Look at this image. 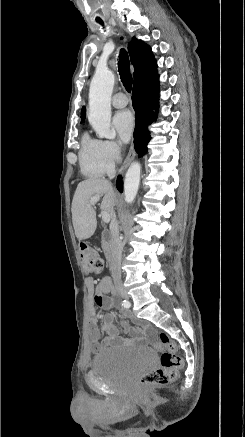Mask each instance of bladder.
I'll return each instance as SVG.
<instances>
[{
    "mask_svg": "<svg viewBox=\"0 0 245 437\" xmlns=\"http://www.w3.org/2000/svg\"><path fill=\"white\" fill-rule=\"evenodd\" d=\"M155 363L150 348L123 350L106 349L91 361V369L114 385H126L138 374L149 370Z\"/></svg>",
    "mask_w": 245,
    "mask_h": 437,
    "instance_id": "obj_1",
    "label": "bladder"
}]
</instances>
